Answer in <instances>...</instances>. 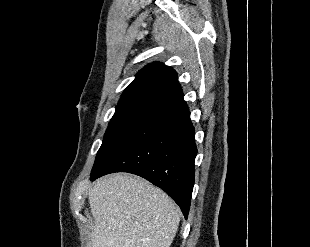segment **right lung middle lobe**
Wrapping results in <instances>:
<instances>
[{"label":"right lung middle lobe","instance_id":"1","mask_svg":"<svg viewBox=\"0 0 310 247\" xmlns=\"http://www.w3.org/2000/svg\"><path fill=\"white\" fill-rule=\"evenodd\" d=\"M159 112L146 107L116 110L96 155L92 171L105 164L148 120Z\"/></svg>","mask_w":310,"mask_h":247}]
</instances>
